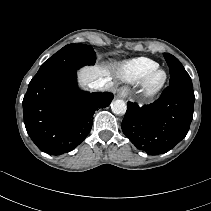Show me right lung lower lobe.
<instances>
[{"instance_id": "1", "label": "right lung lower lobe", "mask_w": 211, "mask_h": 211, "mask_svg": "<svg viewBox=\"0 0 211 211\" xmlns=\"http://www.w3.org/2000/svg\"><path fill=\"white\" fill-rule=\"evenodd\" d=\"M112 99L108 92L79 91L74 69L36 74L23 99L27 133L40 150L67 153L89 134L95 111Z\"/></svg>"}]
</instances>
